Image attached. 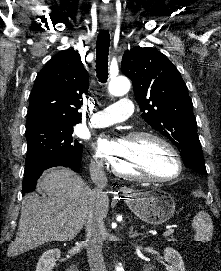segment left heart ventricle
I'll list each match as a JSON object with an SVG mask.
<instances>
[{"mask_svg":"<svg viewBox=\"0 0 221 271\" xmlns=\"http://www.w3.org/2000/svg\"><path fill=\"white\" fill-rule=\"evenodd\" d=\"M158 139L146 137L134 141L136 156H120L113 167L118 175H148V177H177L176 166L171 165L173 153L169 147H161Z\"/></svg>","mask_w":221,"mask_h":271,"instance_id":"b2bd125f","label":"left heart ventricle"}]
</instances>
